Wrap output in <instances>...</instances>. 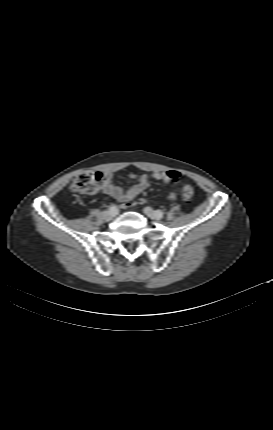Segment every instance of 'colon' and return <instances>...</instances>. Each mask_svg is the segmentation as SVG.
<instances>
[{
  "label": "colon",
  "instance_id": "5ec220e1",
  "mask_svg": "<svg viewBox=\"0 0 273 430\" xmlns=\"http://www.w3.org/2000/svg\"><path fill=\"white\" fill-rule=\"evenodd\" d=\"M102 175L96 171H85L79 174L71 185V190L75 194H91L97 189V185L101 180ZM194 195V188L186 185L183 188V197L190 200Z\"/></svg>",
  "mask_w": 273,
  "mask_h": 430
}]
</instances>
